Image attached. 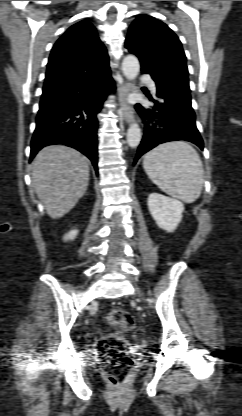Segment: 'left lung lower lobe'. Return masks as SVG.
I'll list each match as a JSON object with an SVG mask.
<instances>
[{"label":"left lung lower lobe","mask_w":242,"mask_h":416,"mask_svg":"<svg viewBox=\"0 0 242 416\" xmlns=\"http://www.w3.org/2000/svg\"><path fill=\"white\" fill-rule=\"evenodd\" d=\"M142 73H148L142 70ZM157 85V84H156ZM157 99L154 106L144 108L136 104V110L149 119L151 125L146 123L142 141L134 160L157 145L176 140H185L196 144L203 149V140L195 124V113L191 106V98L182 96L177 92L157 85Z\"/></svg>","instance_id":"1"}]
</instances>
